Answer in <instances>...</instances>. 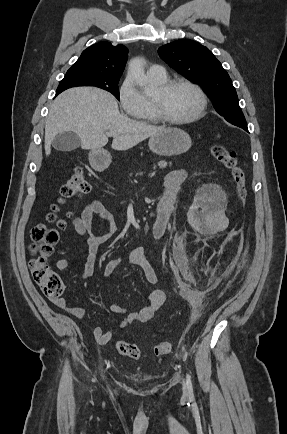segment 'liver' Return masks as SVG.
<instances>
[{
    "label": "liver",
    "instance_id": "obj_1",
    "mask_svg": "<svg viewBox=\"0 0 287 434\" xmlns=\"http://www.w3.org/2000/svg\"><path fill=\"white\" fill-rule=\"evenodd\" d=\"M165 127L132 120L119 112L115 98L94 87H77L60 94L51 105L45 124V153L60 133L79 136L84 149H101L113 135L112 148L125 151L156 135Z\"/></svg>",
    "mask_w": 287,
    "mask_h": 434
}]
</instances>
